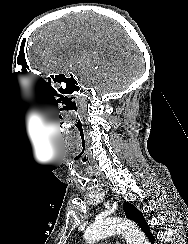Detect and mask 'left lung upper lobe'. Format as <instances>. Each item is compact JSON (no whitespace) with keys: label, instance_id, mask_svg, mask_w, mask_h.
Segmentation results:
<instances>
[{"label":"left lung upper lobe","instance_id":"1","mask_svg":"<svg viewBox=\"0 0 188 244\" xmlns=\"http://www.w3.org/2000/svg\"><path fill=\"white\" fill-rule=\"evenodd\" d=\"M123 209L126 217L130 220L135 221L137 224L143 217L142 213L129 202H125L123 204Z\"/></svg>","mask_w":188,"mask_h":244}]
</instances>
